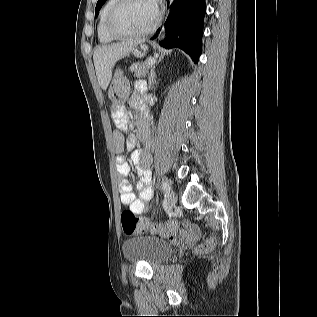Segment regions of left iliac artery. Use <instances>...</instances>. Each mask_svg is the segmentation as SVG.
Returning a JSON list of instances; mask_svg holds the SVG:
<instances>
[{
  "label": "left iliac artery",
  "instance_id": "obj_1",
  "mask_svg": "<svg viewBox=\"0 0 317 317\" xmlns=\"http://www.w3.org/2000/svg\"><path fill=\"white\" fill-rule=\"evenodd\" d=\"M162 189L165 193V195H168L169 192H170V186H169V183L167 181H163L162 182Z\"/></svg>",
  "mask_w": 317,
  "mask_h": 317
}]
</instances>
